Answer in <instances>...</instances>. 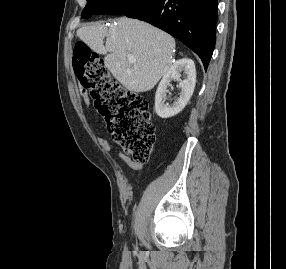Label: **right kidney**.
Here are the masks:
<instances>
[{
	"label": "right kidney",
	"instance_id": "obj_1",
	"mask_svg": "<svg viewBox=\"0 0 286 269\" xmlns=\"http://www.w3.org/2000/svg\"><path fill=\"white\" fill-rule=\"evenodd\" d=\"M185 74V79L181 80V73ZM172 80L179 82L181 93L177 101L172 106L166 101L167 87ZM196 84V70L193 60L183 58L176 61L163 76L158 85L155 95V111L161 118H169L181 112L189 102Z\"/></svg>",
	"mask_w": 286,
	"mask_h": 269
}]
</instances>
